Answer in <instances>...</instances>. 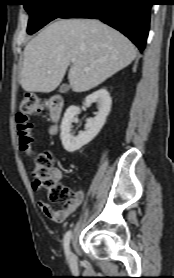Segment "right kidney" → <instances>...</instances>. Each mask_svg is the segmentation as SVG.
I'll use <instances>...</instances> for the list:
<instances>
[{
	"label": "right kidney",
	"mask_w": 174,
	"mask_h": 278,
	"mask_svg": "<svg viewBox=\"0 0 174 278\" xmlns=\"http://www.w3.org/2000/svg\"><path fill=\"white\" fill-rule=\"evenodd\" d=\"M98 103V113L86 123V131L79 132L78 136L71 135L70 130L75 116L80 112L77 106H70L62 119L61 141L67 152H75L92 141L100 132L111 110L112 100L106 89H99L86 97V105Z\"/></svg>",
	"instance_id": "1"
}]
</instances>
